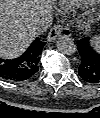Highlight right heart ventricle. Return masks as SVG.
Masks as SVG:
<instances>
[{"instance_id":"right-heart-ventricle-1","label":"right heart ventricle","mask_w":100,"mask_h":118,"mask_svg":"<svg viewBox=\"0 0 100 118\" xmlns=\"http://www.w3.org/2000/svg\"><path fill=\"white\" fill-rule=\"evenodd\" d=\"M70 5H80L88 2L89 0H66Z\"/></svg>"}]
</instances>
